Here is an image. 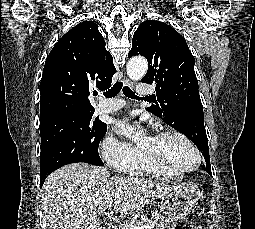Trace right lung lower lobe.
I'll return each mask as SVG.
<instances>
[{
	"label": "right lung lower lobe",
	"mask_w": 255,
	"mask_h": 229,
	"mask_svg": "<svg viewBox=\"0 0 255 229\" xmlns=\"http://www.w3.org/2000/svg\"><path fill=\"white\" fill-rule=\"evenodd\" d=\"M104 165V164H103ZM49 174H40V187L43 185L46 177L48 176Z\"/></svg>",
	"instance_id": "1"
}]
</instances>
